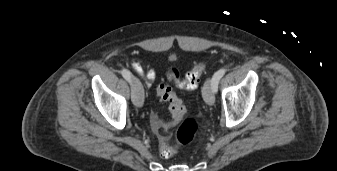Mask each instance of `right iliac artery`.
Instances as JSON below:
<instances>
[{"instance_id":"82829eb1","label":"right iliac artery","mask_w":337,"mask_h":171,"mask_svg":"<svg viewBox=\"0 0 337 171\" xmlns=\"http://www.w3.org/2000/svg\"><path fill=\"white\" fill-rule=\"evenodd\" d=\"M121 74H122V76H123L128 82H130V79H131V73H130L128 70L123 69V70L121 71Z\"/></svg>"}]
</instances>
